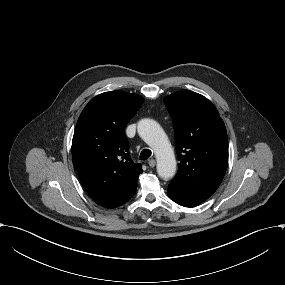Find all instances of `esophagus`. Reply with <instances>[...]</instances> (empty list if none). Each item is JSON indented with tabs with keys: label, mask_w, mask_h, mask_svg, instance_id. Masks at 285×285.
<instances>
[{
	"label": "esophagus",
	"mask_w": 285,
	"mask_h": 285,
	"mask_svg": "<svg viewBox=\"0 0 285 285\" xmlns=\"http://www.w3.org/2000/svg\"><path fill=\"white\" fill-rule=\"evenodd\" d=\"M148 165L151 167V168H154L155 165H156V160L155 159H150L148 161Z\"/></svg>",
	"instance_id": "34e87169"
}]
</instances>
